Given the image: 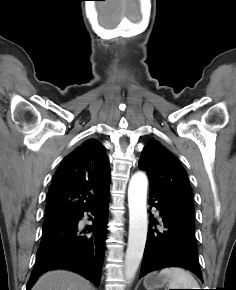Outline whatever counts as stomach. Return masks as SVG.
Returning <instances> with one entry per match:
<instances>
[{"mask_svg": "<svg viewBox=\"0 0 236 290\" xmlns=\"http://www.w3.org/2000/svg\"><path fill=\"white\" fill-rule=\"evenodd\" d=\"M168 279L157 273H151L144 279V286L147 290H156L163 287Z\"/></svg>", "mask_w": 236, "mask_h": 290, "instance_id": "1", "label": "stomach"}]
</instances>
